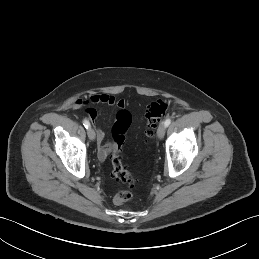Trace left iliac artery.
<instances>
[{"label": "left iliac artery", "instance_id": "1", "mask_svg": "<svg viewBox=\"0 0 259 259\" xmlns=\"http://www.w3.org/2000/svg\"><path fill=\"white\" fill-rule=\"evenodd\" d=\"M164 124L166 127H168L171 124V119L170 118L166 119Z\"/></svg>", "mask_w": 259, "mask_h": 259}]
</instances>
